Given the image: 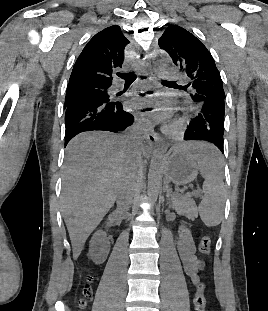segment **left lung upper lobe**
<instances>
[{
	"label": "left lung upper lobe",
	"instance_id": "obj_1",
	"mask_svg": "<svg viewBox=\"0 0 268 311\" xmlns=\"http://www.w3.org/2000/svg\"><path fill=\"white\" fill-rule=\"evenodd\" d=\"M158 44L180 67L190 83V116L200 112V107L206 102L214 104L217 99H224L222 79L214 59L207 48L186 29L170 25L160 37Z\"/></svg>",
	"mask_w": 268,
	"mask_h": 311
}]
</instances>
